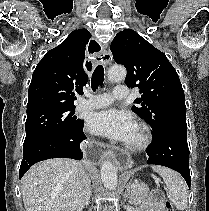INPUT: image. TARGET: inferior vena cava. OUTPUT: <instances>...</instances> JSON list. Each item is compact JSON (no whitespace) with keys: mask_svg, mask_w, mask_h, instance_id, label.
<instances>
[{"mask_svg":"<svg viewBox=\"0 0 209 211\" xmlns=\"http://www.w3.org/2000/svg\"><path fill=\"white\" fill-rule=\"evenodd\" d=\"M90 179L88 178V176H86V179H85V185H84V189H83V202L84 204H88L89 203V199H90V196H91V187H90Z\"/></svg>","mask_w":209,"mask_h":211,"instance_id":"inferior-vena-cava-1","label":"inferior vena cava"}]
</instances>
